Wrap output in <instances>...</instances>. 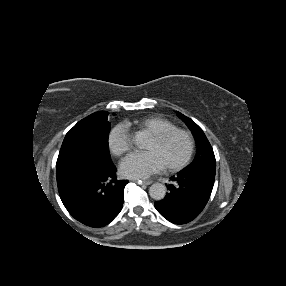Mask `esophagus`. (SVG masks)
I'll return each mask as SVG.
<instances>
[{"instance_id": "obj_1", "label": "esophagus", "mask_w": 286, "mask_h": 286, "mask_svg": "<svg viewBox=\"0 0 286 286\" xmlns=\"http://www.w3.org/2000/svg\"><path fill=\"white\" fill-rule=\"evenodd\" d=\"M138 184H141V185H150L152 183L151 180H139V181H136Z\"/></svg>"}]
</instances>
